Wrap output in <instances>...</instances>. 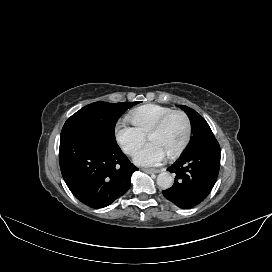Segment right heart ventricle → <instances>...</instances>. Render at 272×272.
<instances>
[{
  "label": "right heart ventricle",
  "instance_id": "obj_1",
  "mask_svg": "<svg viewBox=\"0 0 272 272\" xmlns=\"http://www.w3.org/2000/svg\"><path fill=\"white\" fill-rule=\"evenodd\" d=\"M173 111L172 108L157 105L146 104L139 106L130 111L128 120L145 135L149 132L152 126L165 114Z\"/></svg>",
  "mask_w": 272,
  "mask_h": 272
}]
</instances>
